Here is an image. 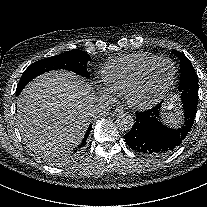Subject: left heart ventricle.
<instances>
[{
	"label": "left heart ventricle",
	"instance_id": "1",
	"mask_svg": "<svg viewBox=\"0 0 207 207\" xmlns=\"http://www.w3.org/2000/svg\"><path fill=\"white\" fill-rule=\"evenodd\" d=\"M173 71V65L169 62L157 65L148 75L147 86L141 98L146 100L159 98L168 86Z\"/></svg>",
	"mask_w": 207,
	"mask_h": 207
}]
</instances>
